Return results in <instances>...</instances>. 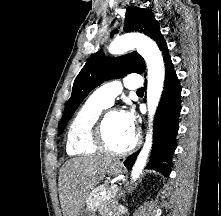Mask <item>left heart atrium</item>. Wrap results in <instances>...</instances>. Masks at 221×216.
I'll return each mask as SVG.
<instances>
[{"mask_svg":"<svg viewBox=\"0 0 221 216\" xmlns=\"http://www.w3.org/2000/svg\"><path fill=\"white\" fill-rule=\"evenodd\" d=\"M121 115L126 128L133 134L136 126V117L134 112L131 109H128L123 111Z\"/></svg>","mask_w":221,"mask_h":216,"instance_id":"39dd6f15","label":"left heart atrium"}]
</instances>
